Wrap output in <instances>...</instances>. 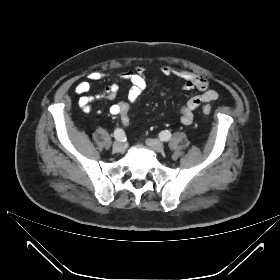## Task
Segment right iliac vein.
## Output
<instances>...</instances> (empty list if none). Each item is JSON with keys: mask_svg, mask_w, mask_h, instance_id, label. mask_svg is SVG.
<instances>
[{"mask_svg": "<svg viewBox=\"0 0 280 280\" xmlns=\"http://www.w3.org/2000/svg\"><path fill=\"white\" fill-rule=\"evenodd\" d=\"M113 150L116 153H123L125 151V145L122 142L117 141L113 144Z\"/></svg>", "mask_w": 280, "mask_h": 280, "instance_id": "63e3f726", "label": "right iliac vein"}]
</instances>
